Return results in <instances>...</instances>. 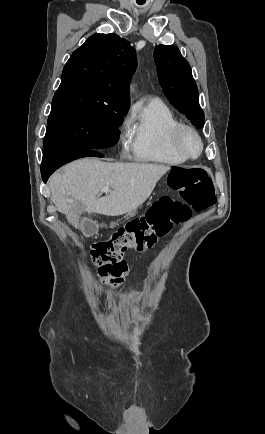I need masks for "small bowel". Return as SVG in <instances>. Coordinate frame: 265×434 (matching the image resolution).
<instances>
[{"label": "small bowel", "instance_id": "obj_1", "mask_svg": "<svg viewBox=\"0 0 265 434\" xmlns=\"http://www.w3.org/2000/svg\"><path fill=\"white\" fill-rule=\"evenodd\" d=\"M142 296H143V292H141V291L132 292V293H130V294H128V295L122 297V298L119 300L118 306H119V307H122V306H124L125 304H127V303L130 302V301L140 299ZM112 298H113V299H118V298H119V295H118V294H114V295L112 296Z\"/></svg>", "mask_w": 265, "mask_h": 434}]
</instances>
